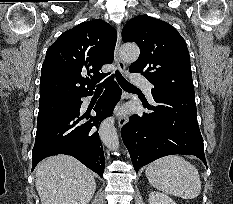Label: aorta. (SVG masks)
Instances as JSON below:
<instances>
[{
	"mask_svg": "<svg viewBox=\"0 0 233 204\" xmlns=\"http://www.w3.org/2000/svg\"><path fill=\"white\" fill-rule=\"evenodd\" d=\"M139 53V48L135 44H124L120 49L121 58L128 62L136 61L139 57ZM99 134L102 142L110 150H117L119 148V138L113 118H107L101 123Z\"/></svg>",
	"mask_w": 233,
	"mask_h": 204,
	"instance_id": "762f6f07",
	"label": "aorta"
}]
</instances>
